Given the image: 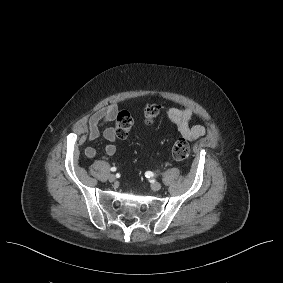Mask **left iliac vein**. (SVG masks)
Returning <instances> with one entry per match:
<instances>
[{
  "instance_id": "left-iliac-vein-1",
  "label": "left iliac vein",
  "mask_w": 283,
  "mask_h": 283,
  "mask_svg": "<svg viewBox=\"0 0 283 283\" xmlns=\"http://www.w3.org/2000/svg\"><path fill=\"white\" fill-rule=\"evenodd\" d=\"M161 187H162V185H161V183H159V182H153V183L151 184V189H152L153 191H158V190L161 189Z\"/></svg>"
}]
</instances>
